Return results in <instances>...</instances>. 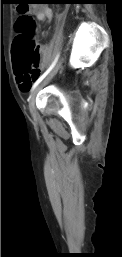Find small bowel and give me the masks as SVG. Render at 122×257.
Returning a JSON list of instances; mask_svg holds the SVG:
<instances>
[{"label": "small bowel", "instance_id": "1", "mask_svg": "<svg viewBox=\"0 0 122 257\" xmlns=\"http://www.w3.org/2000/svg\"><path fill=\"white\" fill-rule=\"evenodd\" d=\"M33 15L36 17L37 20L42 22H50L53 17V12L51 8L48 6L42 5V6H36L34 7V10H32ZM42 51L44 53V60L47 59V48H42ZM18 87L22 92H26L29 90L32 80L34 78H31L30 80H26L25 78L19 76L17 74L16 76Z\"/></svg>", "mask_w": 122, "mask_h": 257}]
</instances>
